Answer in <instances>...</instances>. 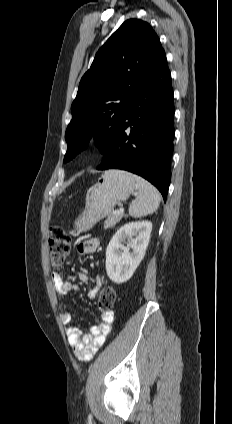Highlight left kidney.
<instances>
[{
	"mask_svg": "<svg viewBox=\"0 0 232 424\" xmlns=\"http://www.w3.org/2000/svg\"><path fill=\"white\" fill-rule=\"evenodd\" d=\"M151 231L150 221H136L123 225L113 235L106 249V272L113 282L124 283L132 277L144 258ZM126 239L129 244L124 246Z\"/></svg>",
	"mask_w": 232,
	"mask_h": 424,
	"instance_id": "5707ae66",
	"label": "left kidney"
}]
</instances>
